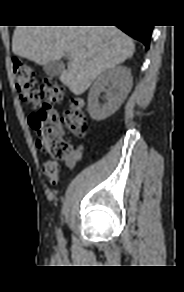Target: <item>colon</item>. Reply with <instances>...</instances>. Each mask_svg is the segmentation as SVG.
Returning <instances> with one entry per match:
<instances>
[{"label": "colon", "mask_w": 184, "mask_h": 292, "mask_svg": "<svg viewBox=\"0 0 184 292\" xmlns=\"http://www.w3.org/2000/svg\"><path fill=\"white\" fill-rule=\"evenodd\" d=\"M14 83L21 98L36 109L29 117V124L35 132L37 145L48 155L43 163V171L50 182L58 180L59 163L67 161L73 152L71 145L61 137L65 126L76 137L87 133L88 123L84 102L73 96L68 108L59 114L53 105L63 98V88L53 79H46L36 86L34 70L20 59L12 62Z\"/></svg>", "instance_id": "1"}]
</instances>
